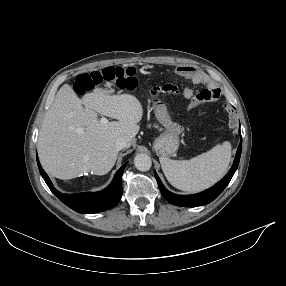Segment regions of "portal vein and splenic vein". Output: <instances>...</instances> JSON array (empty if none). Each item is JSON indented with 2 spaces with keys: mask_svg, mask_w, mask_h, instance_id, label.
<instances>
[{
  "mask_svg": "<svg viewBox=\"0 0 286 286\" xmlns=\"http://www.w3.org/2000/svg\"><path fill=\"white\" fill-rule=\"evenodd\" d=\"M100 122H101L102 124H107V123H108V120H107L105 117H102L101 120H100Z\"/></svg>",
  "mask_w": 286,
  "mask_h": 286,
  "instance_id": "1",
  "label": "portal vein and splenic vein"
}]
</instances>
